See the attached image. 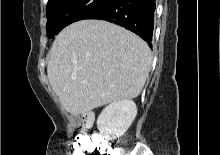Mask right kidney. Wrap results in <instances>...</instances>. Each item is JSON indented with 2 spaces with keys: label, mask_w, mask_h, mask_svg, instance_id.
I'll return each mask as SVG.
<instances>
[{
  "label": "right kidney",
  "mask_w": 220,
  "mask_h": 155,
  "mask_svg": "<svg viewBox=\"0 0 220 155\" xmlns=\"http://www.w3.org/2000/svg\"><path fill=\"white\" fill-rule=\"evenodd\" d=\"M137 115V107L132 100H119L108 105L97 119V127L106 139L122 136Z\"/></svg>",
  "instance_id": "obj_1"
}]
</instances>
